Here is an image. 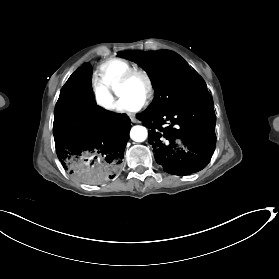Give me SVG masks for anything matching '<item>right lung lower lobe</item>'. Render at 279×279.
<instances>
[{"label": "right lung lower lobe", "mask_w": 279, "mask_h": 279, "mask_svg": "<svg viewBox=\"0 0 279 279\" xmlns=\"http://www.w3.org/2000/svg\"><path fill=\"white\" fill-rule=\"evenodd\" d=\"M131 128L125 114L96 105L91 96V66L84 63L62 87L54 111L58 159L76 179L108 183L119 174Z\"/></svg>", "instance_id": "obj_1"}]
</instances>
